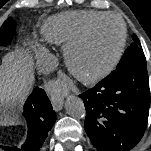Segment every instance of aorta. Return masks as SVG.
Instances as JSON below:
<instances>
[{
    "label": "aorta",
    "mask_w": 151,
    "mask_h": 151,
    "mask_svg": "<svg viewBox=\"0 0 151 151\" xmlns=\"http://www.w3.org/2000/svg\"><path fill=\"white\" fill-rule=\"evenodd\" d=\"M65 110L73 118L82 119L85 117L86 110L83 101L74 95H70L65 101Z\"/></svg>",
    "instance_id": "aorta-1"
}]
</instances>
